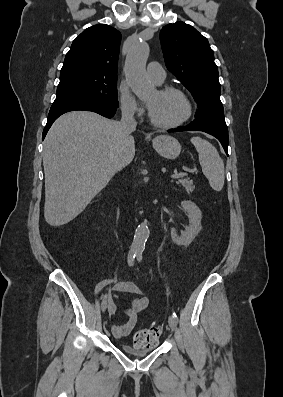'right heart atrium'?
I'll return each instance as SVG.
<instances>
[{
  "label": "right heart atrium",
  "mask_w": 283,
  "mask_h": 397,
  "mask_svg": "<svg viewBox=\"0 0 283 397\" xmlns=\"http://www.w3.org/2000/svg\"><path fill=\"white\" fill-rule=\"evenodd\" d=\"M119 105L122 113L127 117H139L144 113L142 105L126 85L119 88Z\"/></svg>",
  "instance_id": "obj_1"
}]
</instances>
